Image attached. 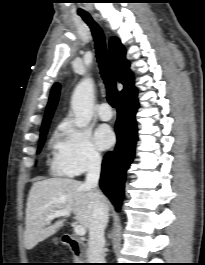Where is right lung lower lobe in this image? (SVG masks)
I'll return each mask as SVG.
<instances>
[{
	"instance_id": "98d812e1",
	"label": "right lung lower lobe",
	"mask_w": 205,
	"mask_h": 265,
	"mask_svg": "<svg viewBox=\"0 0 205 265\" xmlns=\"http://www.w3.org/2000/svg\"><path fill=\"white\" fill-rule=\"evenodd\" d=\"M138 107L137 98L127 103H119L115 126L117 144L113 151L105 155L102 162L100 187L111 200L116 211H120L124 197L126 170L134 158L137 141L135 114Z\"/></svg>"
}]
</instances>
